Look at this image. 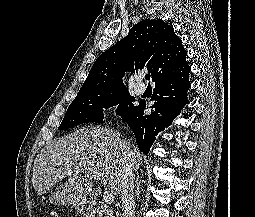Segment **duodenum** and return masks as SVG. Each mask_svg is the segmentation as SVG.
Segmentation results:
<instances>
[{"mask_svg": "<svg viewBox=\"0 0 255 217\" xmlns=\"http://www.w3.org/2000/svg\"><path fill=\"white\" fill-rule=\"evenodd\" d=\"M81 210L88 215V217H92L94 215V207L92 205H82Z\"/></svg>", "mask_w": 255, "mask_h": 217, "instance_id": "1", "label": "duodenum"}]
</instances>
